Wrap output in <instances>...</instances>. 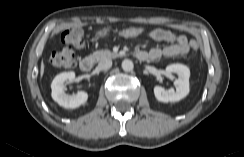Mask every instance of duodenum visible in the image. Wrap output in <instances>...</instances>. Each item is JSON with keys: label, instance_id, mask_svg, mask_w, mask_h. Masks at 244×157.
Segmentation results:
<instances>
[{"label": "duodenum", "instance_id": "1", "mask_svg": "<svg viewBox=\"0 0 244 157\" xmlns=\"http://www.w3.org/2000/svg\"><path fill=\"white\" fill-rule=\"evenodd\" d=\"M136 57L139 60H146L148 58H146V55L142 52H137L136 53ZM79 67L80 69L85 72V73H89L92 71L93 69V59L90 57H84L80 60L79 62Z\"/></svg>", "mask_w": 244, "mask_h": 157}]
</instances>
